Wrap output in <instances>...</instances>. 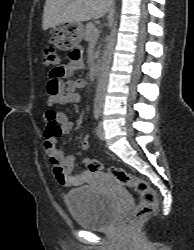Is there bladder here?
Returning <instances> with one entry per match:
<instances>
[{
  "instance_id": "31cf9c89",
  "label": "bladder",
  "mask_w": 194,
  "mask_h": 250,
  "mask_svg": "<svg viewBox=\"0 0 194 250\" xmlns=\"http://www.w3.org/2000/svg\"><path fill=\"white\" fill-rule=\"evenodd\" d=\"M65 202L75 223L89 230L108 228L118 213L115 198L89 185L68 191Z\"/></svg>"
}]
</instances>
